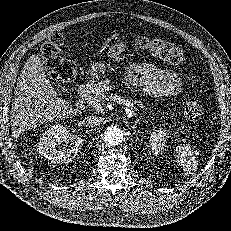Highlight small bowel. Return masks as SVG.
<instances>
[{"instance_id":"small-bowel-1","label":"small bowel","mask_w":231,"mask_h":231,"mask_svg":"<svg viewBox=\"0 0 231 231\" xmlns=\"http://www.w3.org/2000/svg\"><path fill=\"white\" fill-rule=\"evenodd\" d=\"M126 82L131 86L141 87L144 93L154 97L176 96L182 90L178 73L159 69L148 62L130 64Z\"/></svg>"}]
</instances>
